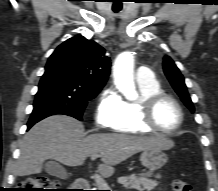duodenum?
<instances>
[{
	"label": "duodenum",
	"mask_w": 218,
	"mask_h": 191,
	"mask_svg": "<svg viewBox=\"0 0 218 191\" xmlns=\"http://www.w3.org/2000/svg\"><path fill=\"white\" fill-rule=\"evenodd\" d=\"M90 183L85 178H78L74 184V190L72 191H88Z\"/></svg>",
	"instance_id": "410a0bca"
}]
</instances>
